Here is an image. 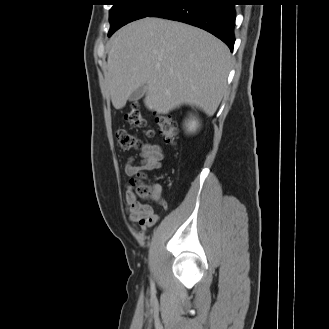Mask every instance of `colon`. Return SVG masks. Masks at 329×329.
I'll list each match as a JSON object with an SVG mask.
<instances>
[{
  "mask_svg": "<svg viewBox=\"0 0 329 329\" xmlns=\"http://www.w3.org/2000/svg\"><path fill=\"white\" fill-rule=\"evenodd\" d=\"M125 120L133 127L144 130L148 135L147 123L142 114L139 104L133 103L130 105L125 114ZM157 127L162 138L170 144L175 143L178 135V127L172 116L168 113L159 114L157 116ZM116 140L121 149L128 151L140 148L141 144L138 139L127 132L119 129L116 131ZM128 188L131 190L134 197L146 201L160 202V197L154 188L144 182L143 175L137 174L128 183ZM149 206V205H147ZM150 207V206H149Z\"/></svg>",
  "mask_w": 329,
  "mask_h": 329,
  "instance_id": "colon-1",
  "label": "colon"
}]
</instances>
